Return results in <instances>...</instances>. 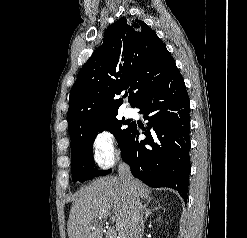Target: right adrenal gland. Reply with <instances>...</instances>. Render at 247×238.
I'll return each instance as SVG.
<instances>
[{"label": "right adrenal gland", "instance_id": "obj_1", "mask_svg": "<svg viewBox=\"0 0 247 238\" xmlns=\"http://www.w3.org/2000/svg\"><path fill=\"white\" fill-rule=\"evenodd\" d=\"M150 202H151V199H149V200L147 201V203H145L144 206H143L144 215H145V218H144V219H145V220L148 219L149 215H150V214L152 213V211H153V210H151V209L148 208V205H149ZM155 209L157 210V209H159V207H156Z\"/></svg>", "mask_w": 247, "mask_h": 238}]
</instances>
